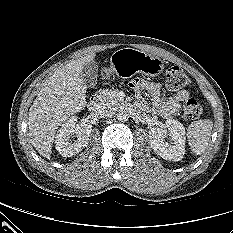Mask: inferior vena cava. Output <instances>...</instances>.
<instances>
[{"label": "inferior vena cava", "instance_id": "1", "mask_svg": "<svg viewBox=\"0 0 233 233\" xmlns=\"http://www.w3.org/2000/svg\"><path fill=\"white\" fill-rule=\"evenodd\" d=\"M112 113L113 109L111 108V106L105 103L97 104L92 112V114L97 118H108L112 115Z\"/></svg>", "mask_w": 233, "mask_h": 233}]
</instances>
